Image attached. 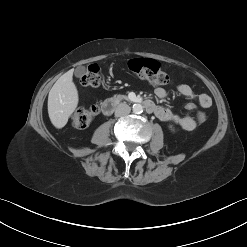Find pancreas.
<instances>
[{"label":"pancreas","instance_id":"1","mask_svg":"<svg viewBox=\"0 0 247 247\" xmlns=\"http://www.w3.org/2000/svg\"><path fill=\"white\" fill-rule=\"evenodd\" d=\"M114 100L116 101H121L122 99H126V96L125 95H114L113 97Z\"/></svg>","mask_w":247,"mask_h":247}]
</instances>
